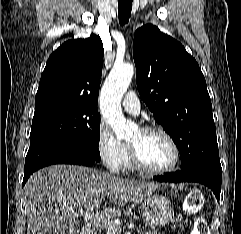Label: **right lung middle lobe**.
<instances>
[{
    "label": "right lung middle lobe",
    "instance_id": "obj_1",
    "mask_svg": "<svg viewBox=\"0 0 241 234\" xmlns=\"http://www.w3.org/2000/svg\"><path fill=\"white\" fill-rule=\"evenodd\" d=\"M99 139L97 108L65 103L35 106L30 146L50 141L65 142L100 161Z\"/></svg>",
    "mask_w": 241,
    "mask_h": 234
}]
</instances>
